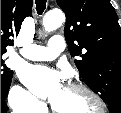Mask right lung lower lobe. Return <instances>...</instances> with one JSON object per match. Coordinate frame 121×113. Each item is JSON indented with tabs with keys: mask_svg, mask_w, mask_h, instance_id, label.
<instances>
[{
	"mask_svg": "<svg viewBox=\"0 0 121 113\" xmlns=\"http://www.w3.org/2000/svg\"><path fill=\"white\" fill-rule=\"evenodd\" d=\"M10 84H1V113H6L8 111V107L6 105V98L8 95Z\"/></svg>",
	"mask_w": 121,
	"mask_h": 113,
	"instance_id": "right-lung-lower-lobe-1",
	"label": "right lung lower lobe"
}]
</instances>
